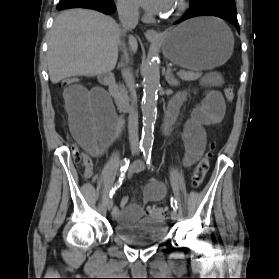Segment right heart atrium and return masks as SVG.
Returning a JSON list of instances; mask_svg holds the SVG:
<instances>
[{
	"label": "right heart atrium",
	"mask_w": 279,
	"mask_h": 279,
	"mask_svg": "<svg viewBox=\"0 0 279 279\" xmlns=\"http://www.w3.org/2000/svg\"><path fill=\"white\" fill-rule=\"evenodd\" d=\"M117 7L122 16L134 18L139 10L134 0H117Z\"/></svg>",
	"instance_id": "1"
}]
</instances>
